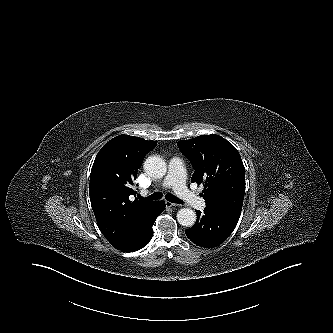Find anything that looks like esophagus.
Instances as JSON below:
<instances>
[{
    "label": "esophagus",
    "mask_w": 333,
    "mask_h": 333,
    "mask_svg": "<svg viewBox=\"0 0 333 333\" xmlns=\"http://www.w3.org/2000/svg\"><path fill=\"white\" fill-rule=\"evenodd\" d=\"M165 204H166V207H176V206H178L177 204L172 203L170 201H166Z\"/></svg>",
    "instance_id": "34e87169"
}]
</instances>
